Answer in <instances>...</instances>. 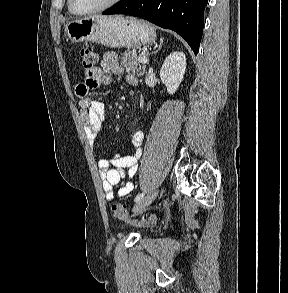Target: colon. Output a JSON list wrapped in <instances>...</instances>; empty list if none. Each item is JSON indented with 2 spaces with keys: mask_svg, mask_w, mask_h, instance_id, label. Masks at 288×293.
I'll return each instance as SVG.
<instances>
[{
  "mask_svg": "<svg viewBox=\"0 0 288 293\" xmlns=\"http://www.w3.org/2000/svg\"><path fill=\"white\" fill-rule=\"evenodd\" d=\"M82 66L85 72H91L94 68H96V64L98 62L97 54L88 48H82L79 52ZM111 212L113 216L120 220H126L128 218V208L120 203H114L111 206ZM150 218L148 221H151Z\"/></svg>",
  "mask_w": 288,
  "mask_h": 293,
  "instance_id": "colon-1",
  "label": "colon"
}]
</instances>
